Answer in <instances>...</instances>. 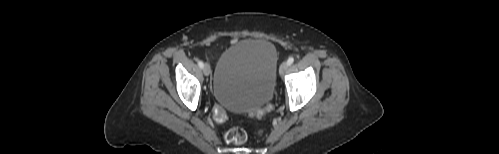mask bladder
Listing matches in <instances>:
<instances>
[{
    "instance_id": "obj_1",
    "label": "bladder",
    "mask_w": 499,
    "mask_h": 154,
    "mask_svg": "<svg viewBox=\"0 0 499 154\" xmlns=\"http://www.w3.org/2000/svg\"><path fill=\"white\" fill-rule=\"evenodd\" d=\"M277 60L275 46L265 39H247L229 47L216 66L215 100L234 112L263 107L273 95Z\"/></svg>"
}]
</instances>
